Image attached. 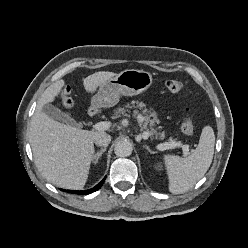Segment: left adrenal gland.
Here are the masks:
<instances>
[{"label": "left adrenal gland", "mask_w": 248, "mask_h": 248, "mask_svg": "<svg viewBox=\"0 0 248 248\" xmlns=\"http://www.w3.org/2000/svg\"><path fill=\"white\" fill-rule=\"evenodd\" d=\"M144 147L148 150V152H149L150 154H154V153H155L154 151H152V150L149 148V146L144 145Z\"/></svg>", "instance_id": "left-adrenal-gland-1"}]
</instances>
